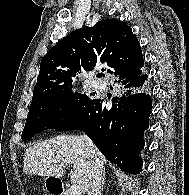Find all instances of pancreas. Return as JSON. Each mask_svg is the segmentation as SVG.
Returning a JSON list of instances; mask_svg holds the SVG:
<instances>
[{"instance_id":"cf45deb5","label":"pancreas","mask_w":189,"mask_h":195,"mask_svg":"<svg viewBox=\"0 0 189 195\" xmlns=\"http://www.w3.org/2000/svg\"><path fill=\"white\" fill-rule=\"evenodd\" d=\"M66 195H70V193H69V192H67V193H66Z\"/></svg>"}]
</instances>
